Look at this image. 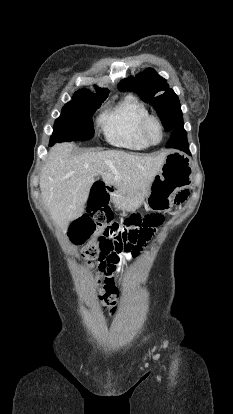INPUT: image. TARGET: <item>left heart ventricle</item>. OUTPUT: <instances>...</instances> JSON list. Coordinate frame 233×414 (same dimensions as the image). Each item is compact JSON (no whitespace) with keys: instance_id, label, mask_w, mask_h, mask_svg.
Listing matches in <instances>:
<instances>
[{"instance_id":"b2bd125f","label":"left heart ventricle","mask_w":233,"mask_h":414,"mask_svg":"<svg viewBox=\"0 0 233 414\" xmlns=\"http://www.w3.org/2000/svg\"><path fill=\"white\" fill-rule=\"evenodd\" d=\"M149 135L153 141H158L160 138V131L155 123H151L149 126Z\"/></svg>"}]
</instances>
